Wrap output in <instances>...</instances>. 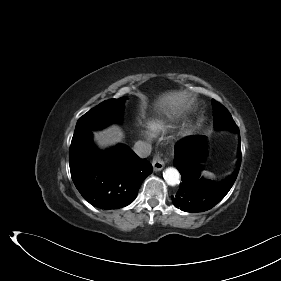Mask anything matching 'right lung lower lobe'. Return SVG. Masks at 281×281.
<instances>
[{"label":"right lung lower lobe","mask_w":281,"mask_h":281,"mask_svg":"<svg viewBox=\"0 0 281 281\" xmlns=\"http://www.w3.org/2000/svg\"><path fill=\"white\" fill-rule=\"evenodd\" d=\"M153 168L126 145L101 152L92 143V132L73 136L70 146L72 180L90 204L118 209L134 201L143 180Z\"/></svg>","instance_id":"98d812e1"}]
</instances>
